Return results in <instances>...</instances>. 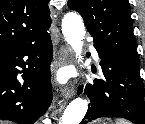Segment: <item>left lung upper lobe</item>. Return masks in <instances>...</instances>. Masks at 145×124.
Returning a JSON list of instances; mask_svg holds the SVG:
<instances>
[{
  "mask_svg": "<svg viewBox=\"0 0 145 124\" xmlns=\"http://www.w3.org/2000/svg\"><path fill=\"white\" fill-rule=\"evenodd\" d=\"M68 7L81 14L101 51L139 64L127 0H68Z\"/></svg>",
  "mask_w": 145,
  "mask_h": 124,
  "instance_id": "1",
  "label": "left lung upper lobe"
}]
</instances>
